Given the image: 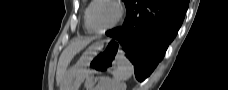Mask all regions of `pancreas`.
Segmentation results:
<instances>
[{
    "label": "pancreas",
    "mask_w": 228,
    "mask_h": 90,
    "mask_svg": "<svg viewBox=\"0 0 228 90\" xmlns=\"http://www.w3.org/2000/svg\"><path fill=\"white\" fill-rule=\"evenodd\" d=\"M97 80H98L97 78H94L92 76L88 77L84 84L85 89L92 90Z\"/></svg>",
    "instance_id": "cf45deb5"
}]
</instances>
